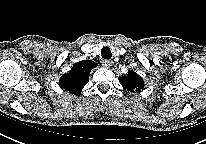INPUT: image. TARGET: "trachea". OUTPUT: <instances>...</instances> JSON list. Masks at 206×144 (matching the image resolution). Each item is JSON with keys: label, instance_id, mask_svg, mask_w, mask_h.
Wrapping results in <instances>:
<instances>
[{"label": "trachea", "instance_id": "trachea-1", "mask_svg": "<svg viewBox=\"0 0 206 144\" xmlns=\"http://www.w3.org/2000/svg\"><path fill=\"white\" fill-rule=\"evenodd\" d=\"M101 56H102V58L107 59V60L111 59L112 53H111L110 48L109 47H103L102 50H101Z\"/></svg>", "mask_w": 206, "mask_h": 144}]
</instances>
